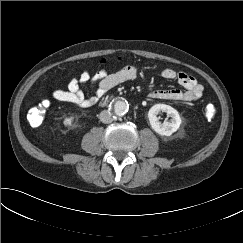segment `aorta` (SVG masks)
Here are the masks:
<instances>
[{
  "label": "aorta",
  "mask_w": 243,
  "mask_h": 243,
  "mask_svg": "<svg viewBox=\"0 0 243 243\" xmlns=\"http://www.w3.org/2000/svg\"><path fill=\"white\" fill-rule=\"evenodd\" d=\"M129 110V104L126 100H117L113 105V111L117 116H124Z\"/></svg>",
  "instance_id": "obj_1"
}]
</instances>
